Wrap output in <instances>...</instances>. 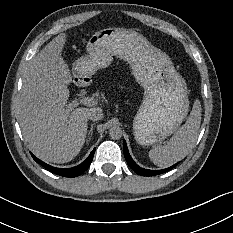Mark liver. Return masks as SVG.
Here are the masks:
<instances>
[{
	"instance_id": "liver-1",
	"label": "liver",
	"mask_w": 233,
	"mask_h": 233,
	"mask_svg": "<svg viewBox=\"0 0 233 233\" xmlns=\"http://www.w3.org/2000/svg\"><path fill=\"white\" fill-rule=\"evenodd\" d=\"M66 35L61 33L34 58L24 73L18 118L25 140L39 159L66 163L85 142L88 116L94 108L68 105L73 76L61 57Z\"/></svg>"
}]
</instances>
